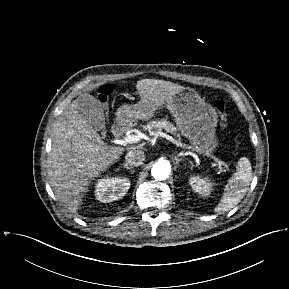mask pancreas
Returning a JSON list of instances; mask_svg holds the SVG:
<instances>
[{
	"mask_svg": "<svg viewBox=\"0 0 289 289\" xmlns=\"http://www.w3.org/2000/svg\"><path fill=\"white\" fill-rule=\"evenodd\" d=\"M143 129L148 130L150 133H155L157 131H161L165 129L167 132L175 133L176 128L168 122L167 120H158L151 121L146 126H143Z\"/></svg>",
	"mask_w": 289,
	"mask_h": 289,
	"instance_id": "cf45deb5",
	"label": "pancreas"
}]
</instances>
